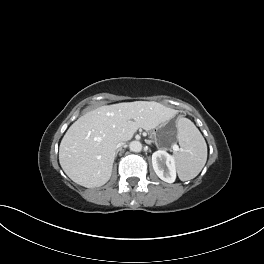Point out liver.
I'll use <instances>...</instances> for the list:
<instances>
[{
    "label": "liver",
    "mask_w": 264,
    "mask_h": 264,
    "mask_svg": "<svg viewBox=\"0 0 264 264\" xmlns=\"http://www.w3.org/2000/svg\"><path fill=\"white\" fill-rule=\"evenodd\" d=\"M174 114L173 109L147 101L104 105L89 111L65 133L59 147L60 165L75 183L100 187L111 177L118 142L130 140L139 128L152 130Z\"/></svg>",
    "instance_id": "obj_1"
}]
</instances>
